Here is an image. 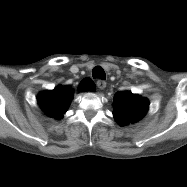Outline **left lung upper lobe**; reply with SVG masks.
Segmentation results:
<instances>
[{
	"label": "left lung upper lobe",
	"instance_id": "1",
	"mask_svg": "<svg viewBox=\"0 0 187 187\" xmlns=\"http://www.w3.org/2000/svg\"><path fill=\"white\" fill-rule=\"evenodd\" d=\"M148 110V101L129 92H117L114 99L113 115L121 125L140 120Z\"/></svg>",
	"mask_w": 187,
	"mask_h": 187
}]
</instances>
